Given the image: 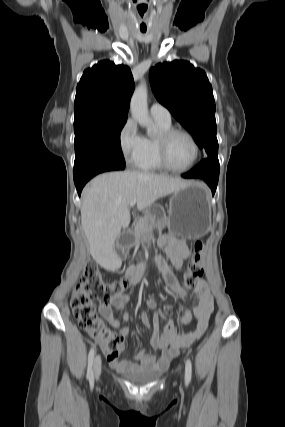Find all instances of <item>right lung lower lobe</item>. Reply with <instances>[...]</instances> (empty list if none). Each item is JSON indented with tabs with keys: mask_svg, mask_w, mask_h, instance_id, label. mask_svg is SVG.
<instances>
[{
	"mask_svg": "<svg viewBox=\"0 0 285 427\" xmlns=\"http://www.w3.org/2000/svg\"><path fill=\"white\" fill-rule=\"evenodd\" d=\"M125 163H116L109 160H94L85 165L78 173L74 174V182L78 195L80 196L84 185L95 175L113 170H122Z\"/></svg>",
	"mask_w": 285,
	"mask_h": 427,
	"instance_id": "1",
	"label": "right lung lower lobe"
}]
</instances>
